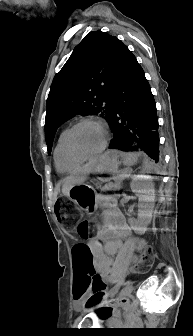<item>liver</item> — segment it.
Instances as JSON below:
<instances>
[{
    "label": "liver",
    "mask_w": 193,
    "mask_h": 336,
    "mask_svg": "<svg viewBox=\"0 0 193 336\" xmlns=\"http://www.w3.org/2000/svg\"><path fill=\"white\" fill-rule=\"evenodd\" d=\"M98 160L99 157L90 160L87 164L78 167L69 176H67L63 180L62 193L64 195H68L72 187L82 184L87 179L89 173L92 170V167L97 163Z\"/></svg>",
    "instance_id": "liver-1"
}]
</instances>
